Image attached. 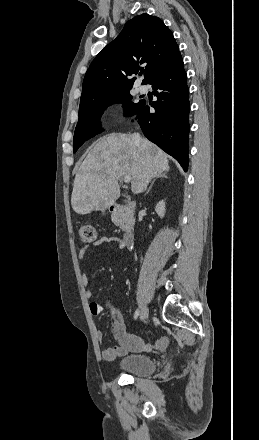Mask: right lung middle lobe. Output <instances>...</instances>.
I'll return each instance as SVG.
<instances>
[{"label": "right lung middle lobe", "instance_id": "dd1d6c3e", "mask_svg": "<svg viewBox=\"0 0 259 440\" xmlns=\"http://www.w3.org/2000/svg\"><path fill=\"white\" fill-rule=\"evenodd\" d=\"M130 89L114 93L105 98L92 102L91 104L79 108V121L75 128L73 138V152L75 153L78 148L88 139L101 133L100 118L103 111L111 104L123 103L125 108V115L132 116L140 108L142 101L138 103L131 102Z\"/></svg>", "mask_w": 259, "mask_h": 440}]
</instances>
